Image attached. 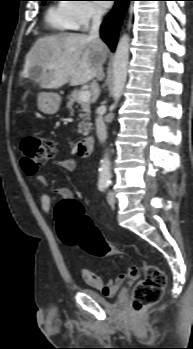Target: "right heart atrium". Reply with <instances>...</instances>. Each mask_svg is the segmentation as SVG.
I'll use <instances>...</instances> for the list:
<instances>
[{"mask_svg":"<svg viewBox=\"0 0 193 349\" xmlns=\"http://www.w3.org/2000/svg\"><path fill=\"white\" fill-rule=\"evenodd\" d=\"M70 2L68 9L78 29H85L102 16L100 8L90 0H71Z\"/></svg>","mask_w":193,"mask_h":349,"instance_id":"d8ad5b80","label":"right heart atrium"}]
</instances>
